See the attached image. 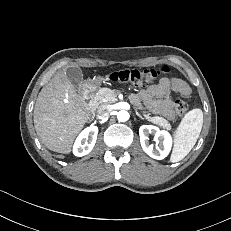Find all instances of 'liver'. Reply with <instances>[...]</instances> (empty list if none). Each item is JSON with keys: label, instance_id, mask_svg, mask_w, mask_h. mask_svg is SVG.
Instances as JSON below:
<instances>
[{"label": "liver", "instance_id": "1", "mask_svg": "<svg viewBox=\"0 0 231 231\" xmlns=\"http://www.w3.org/2000/svg\"><path fill=\"white\" fill-rule=\"evenodd\" d=\"M85 101L62 69L41 89L34 107V126L51 151L69 154L74 140L90 120Z\"/></svg>", "mask_w": 231, "mask_h": 231}]
</instances>
